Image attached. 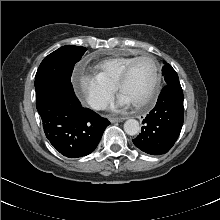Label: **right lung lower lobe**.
Segmentation results:
<instances>
[{"mask_svg": "<svg viewBox=\"0 0 220 220\" xmlns=\"http://www.w3.org/2000/svg\"><path fill=\"white\" fill-rule=\"evenodd\" d=\"M36 108L50 143L69 158L90 154L110 124L106 118L83 108L73 88L52 87L38 98Z\"/></svg>", "mask_w": 220, "mask_h": 220, "instance_id": "right-lung-lower-lobe-1", "label": "right lung lower lobe"}]
</instances>
